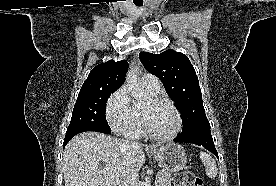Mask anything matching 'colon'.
Returning a JSON list of instances; mask_svg holds the SVG:
<instances>
[{
    "instance_id": "colon-1",
    "label": "colon",
    "mask_w": 276,
    "mask_h": 186,
    "mask_svg": "<svg viewBox=\"0 0 276 186\" xmlns=\"http://www.w3.org/2000/svg\"><path fill=\"white\" fill-rule=\"evenodd\" d=\"M174 186H203L201 178L190 171H183L176 174Z\"/></svg>"
}]
</instances>
